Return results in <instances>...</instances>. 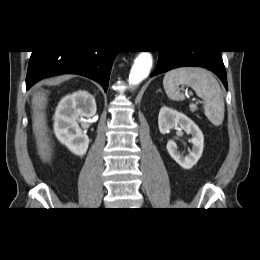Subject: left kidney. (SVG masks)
<instances>
[{
    "instance_id": "5707ae66",
    "label": "left kidney",
    "mask_w": 260,
    "mask_h": 260,
    "mask_svg": "<svg viewBox=\"0 0 260 260\" xmlns=\"http://www.w3.org/2000/svg\"><path fill=\"white\" fill-rule=\"evenodd\" d=\"M159 131L162 134L169 133L176 126H180L187 134H191L192 149L188 155L183 156L176 143L169 140L167 150L170 156L184 169H191L200 159L203 147L204 136L199 127L186 115L169 107L163 106L158 116Z\"/></svg>"
}]
</instances>
